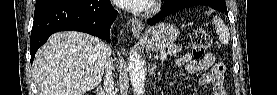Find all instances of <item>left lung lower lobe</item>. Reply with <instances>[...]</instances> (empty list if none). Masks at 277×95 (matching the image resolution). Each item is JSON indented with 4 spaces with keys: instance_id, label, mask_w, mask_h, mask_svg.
Listing matches in <instances>:
<instances>
[{
    "instance_id": "obj_1",
    "label": "left lung lower lobe",
    "mask_w": 277,
    "mask_h": 95,
    "mask_svg": "<svg viewBox=\"0 0 277 95\" xmlns=\"http://www.w3.org/2000/svg\"><path fill=\"white\" fill-rule=\"evenodd\" d=\"M213 3V6H215L218 11H221L224 14L227 13V7L224 0H173L172 2L165 4L162 6V11L154 16L153 18L148 20L149 25H154L166 16L170 15L171 13H174L176 11H179L181 9L195 6V5H207L210 6V4ZM215 9V8H214Z\"/></svg>"
}]
</instances>
